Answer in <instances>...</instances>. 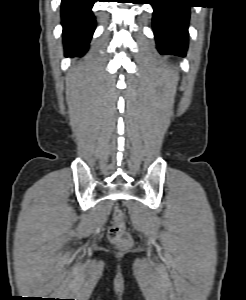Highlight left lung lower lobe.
Returning <instances> with one entry per match:
<instances>
[{"instance_id": "left-lung-lower-lobe-1", "label": "left lung lower lobe", "mask_w": 246, "mask_h": 300, "mask_svg": "<svg viewBox=\"0 0 246 300\" xmlns=\"http://www.w3.org/2000/svg\"><path fill=\"white\" fill-rule=\"evenodd\" d=\"M153 29L161 54L185 56L190 5L185 0H151Z\"/></svg>"}]
</instances>
